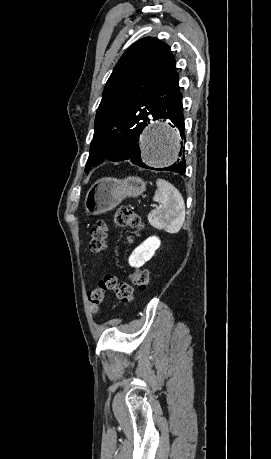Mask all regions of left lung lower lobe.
<instances>
[{
    "label": "left lung lower lobe",
    "mask_w": 271,
    "mask_h": 459,
    "mask_svg": "<svg viewBox=\"0 0 271 459\" xmlns=\"http://www.w3.org/2000/svg\"><path fill=\"white\" fill-rule=\"evenodd\" d=\"M152 105L140 118L132 120L122 127L113 137V146L106 160L117 162L129 160L140 167L153 170H166L185 173L186 162L183 158V151L180 150V159L177 163L167 168H152L145 165L141 160V153L138 146L139 134L144 128L158 119H169L179 130L181 138L184 137V117L182 107V95L179 91V76L174 72L164 78L162 82L151 92ZM183 143L181 142V148Z\"/></svg>",
    "instance_id": "obj_1"
}]
</instances>
